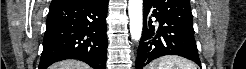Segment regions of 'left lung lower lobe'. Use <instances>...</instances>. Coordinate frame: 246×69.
Returning <instances> with one entry per match:
<instances>
[{"label": "left lung lower lobe", "mask_w": 246, "mask_h": 69, "mask_svg": "<svg viewBox=\"0 0 246 69\" xmlns=\"http://www.w3.org/2000/svg\"><path fill=\"white\" fill-rule=\"evenodd\" d=\"M143 5L146 29L139 42L136 69H144L152 60L171 54L183 56L200 66L193 24L162 13L152 0H144ZM151 17L157 19L158 27L152 25Z\"/></svg>", "instance_id": "left-lung-lower-lobe-1"}]
</instances>
